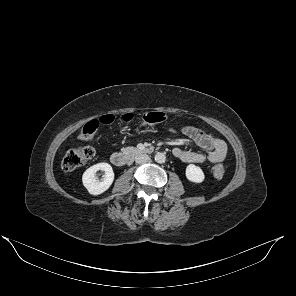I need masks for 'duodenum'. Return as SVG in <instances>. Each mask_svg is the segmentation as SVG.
I'll return each instance as SVG.
<instances>
[{"instance_id":"obj_1","label":"duodenum","mask_w":296,"mask_h":296,"mask_svg":"<svg viewBox=\"0 0 296 296\" xmlns=\"http://www.w3.org/2000/svg\"><path fill=\"white\" fill-rule=\"evenodd\" d=\"M151 152H153V148L151 147L137 149V150H133L126 153L114 152L111 155V162L117 167H123L129 164L133 160L135 155L142 154V153L148 154Z\"/></svg>"}]
</instances>
